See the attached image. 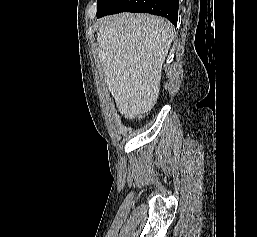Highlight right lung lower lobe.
Segmentation results:
<instances>
[{
	"label": "right lung lower lobe",
	"mask_w": 257,
	"mask_h": 237,
	"mask_svg": "<svg viewBox=\"0 0 257 237\" xmlns=\"http://www.w3.org/2000/svg\"><path fill=\"white\" fill-rule=\"evenodd\" d=\"M179 0H112L97 9V16L103 17L120 12L150 13L167 18L175 26L178 20Z\"/></svg>",
	"instance_id": "obj_1"
}]
</instances>
